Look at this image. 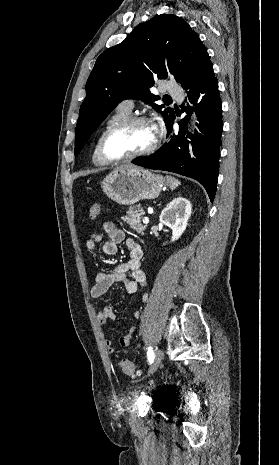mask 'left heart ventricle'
<instances>
[{
  "label": "left heart ventricle",
  "mask_w": 279,
  "mask_h": 465,
  "mask_svg": "<svg viewBox=\"0 0 279 465\" xmlns=\"http://www.w3.org/2000/svg\"><path fill=\"white\" fill-rule=\"evenodd\" d=\"M155 130L148 124H135L113 133L106 143L110 157L119 158L147 148L153 140Z\"/></svg>",
  "instance_id": "b2bd125f"
}]
</instances>
